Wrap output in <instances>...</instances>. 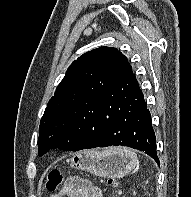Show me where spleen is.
Segmentation results:
<instances>
[{
  "label": "spleen",
  "mask_w": 191,
  "mask_h": 197,
  "mask_svg": "<svg viewBox=\"0 0 191 197\" xmlns=\"http://www.w3.org/2000/svg\"><path fill=\"white\" fill-rule=\"evenodd\" d=\"M118 151L128 157L131 158L132 161L137 162V155L135 154V152L131 149L128 148H120L118 149Z\"/></svg>",
  "instance_id": "spleen-1"
}]
</instances>
